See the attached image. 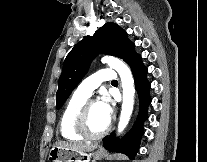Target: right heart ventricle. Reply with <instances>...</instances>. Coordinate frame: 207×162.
<instances>
[{"instance_id":"obj_1","label":"right heart ventricle","mask_w":207,"mask_h":162,"mask_svg":"<svg viewBox=\"0 0 207 162\" xmlns=\"http://www.w3.org/2000/svg\"><path fill=\"white\" fill-rule=\"evenodd\" d=\"M86 100L87 97L75 92L65 105L59 120V131L64 139L69 141H78L83 139L75 132L73 123L77 111Z\"/></svg>"}]
</instances>
